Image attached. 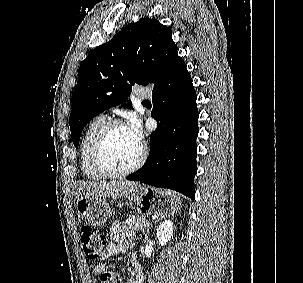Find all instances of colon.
I'll return each mask as SVG.
<instances>
[{
	"label": "colon",
	"mask_w": 303,
	"mask_h": 283,
	"mask_svg": "<svg viewBox=\"0 0 303 283\" xmlns=\"http://www.w3.org/2000/svg\"><path fill=\"white\" fill-rule=\"evenodd\" d=\"M105 242V236L91 228L86 227L81 232L80 243L88 258H98L102 253ZM98 281V283H118L117 276L110 272L102 273Z\"/></svg>",
	"instance_id": "obj_1"
}]
</instances>
